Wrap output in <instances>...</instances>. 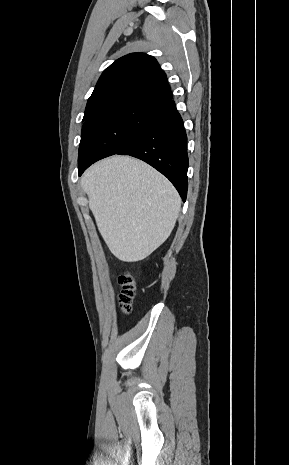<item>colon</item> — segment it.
Here are the masks:
<instances>
[{"label":"colon","mask_w":289,"mask_h":465,"mask_svg":"<svg viewBox=\"0 0 289 465\" xmlns=\"http://www.w3.org/2000/svg\"><path fill=\"white\" fill-rule=\"evenodd\" d=\"M118 282L121 286L119 307L124 314H128L136 294V283L129 272L121 274L118 278Z\"/></svg>","instance_id":"1"}]
</instances>
